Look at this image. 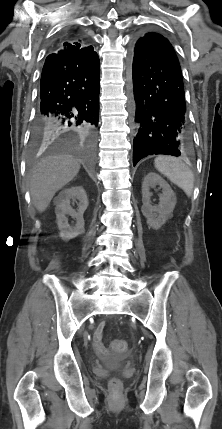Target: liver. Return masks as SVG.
<instances>
[{"mask_svg": "<svg viewBox=\"0 0 222 429\" xmlns=\"http://www.w3.org/2000/svg\"><path fill=\"white\" fill-rule=\"evenodd\" d=\"M79 161L72 155L58 154L43 158L31 171V199L39 212L46 210L55 193L79 172Z\"/></svg>", "mask_w": 222, "mask_h": 429, "instance_id": "liver-1", "label": "liver"}]
</instances>
